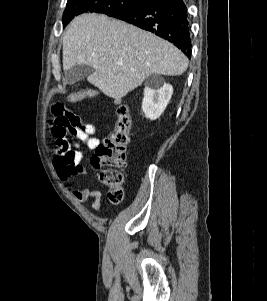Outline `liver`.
<instances>
[{
	"label": "liver",
	"instance_id": "6515ba94",
	"mask_svg": "<svg viewBox=\"0 0 267 301\" xmlns=\"http://www.w3.org/2000/svg\"><path fill=\"white\" fill-rule=\"evenodd\" d=\"M79 64L92 67L88 82L120 100L152 74L178 76L187 57L150 32L94 13L75 17L63 37L64 71Z\"/></svg>",
	"mask_w": 267,
	"mask_h": 301
}]
</instances>
